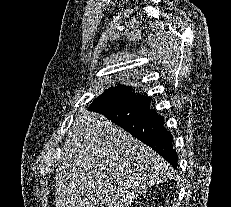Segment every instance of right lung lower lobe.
I'll list each match as a JSON object with an SVG mask.
<instances>
[{
    "label": "right lung lower lobe",
    "mask_w": 231,
    "mask_h": 207,
    "mask_svg": "<svg viewBox=\"0 0 231 207\" xmlns=\"http://www.w3.org/2000/svg\"><path fill=\"white\" fill-rule=\"evenodd\" d=\"M125 96L120 100L106 101L99 96L91 104L92 111L99 112L137 139L153 148L177 169V153L172 146L173 136L163 124L164 119L150 109L151 99L136 94L124 86Z\"/></svg>",
    "instance_id": "obj_1"
}]
</instances>
